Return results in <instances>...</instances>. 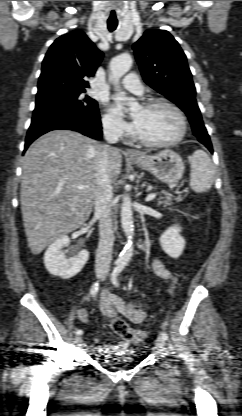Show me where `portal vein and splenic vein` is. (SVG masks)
I'll return each mask as SVG.
<instances>
[{"label": "portal vein and splenic vein", "instance_id": "1", "mask_svg": "<svg viewBox=\"0 0 242 416\" xmlns=\"http://www.w3.org/2000/svg\"><path fill=\"white\" fill-rule=\"evenodd\" d=\"M78 189H83L84 187L82 185L77 186ZM156 197L155 193H150L149 195H147L146 197V201H151Z\"/></svg>", "mask_w": 242, "mask_h": 416}]
</instances>
